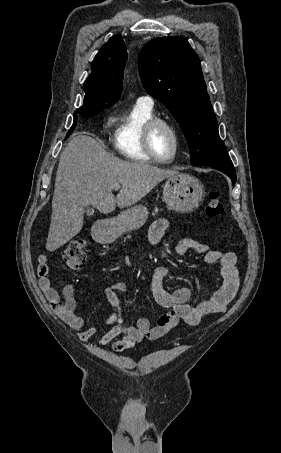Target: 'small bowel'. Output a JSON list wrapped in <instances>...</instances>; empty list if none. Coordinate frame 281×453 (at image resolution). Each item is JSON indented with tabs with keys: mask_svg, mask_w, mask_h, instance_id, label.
<instances>
[{
	"mask_svg": "<svg viewBox=\"0 0 281 453\" xmlns=\"http://www.w3.org/2000/svg\"><path fill=\"white\" fill-rule=\"evenodd\" d=\"M168 228L169 222L167 220H156L149 229L148 240L150 245L153 247L158 245ZM175 251L178 255H185L189 251L203 254L206 264L219 265L222 279L219 291L211 299L191 306L188 303L191 295L189 287H180L170 293L163 286V280L174 272V268L171 265L158 266L151 279L152 294L155 301L168 309V312L159 319L156 325H152L148 319L144 318L135 325L126 326L120 316L119 294L126 292L128 287L125 282L114 283L105 290V298L111 309L110 315L106 319V325L111 326V329L95 339L96 346H104L119 335H123L122 339L115 341L111 346L112 350L123 352L141 342L144 337L153 340L165 336L180 322L186 325H196L209 313H224L229 309L239 288L235 254L210 250L207 244L186 236L177 239ZM39 261V284L51 304L52 312L71 328L76 329L80 340L94 338L99 330L97 328L84 329L86 320L77 313L74 285L71 283L64 285V302L60 303L59 294L49 277L50 264L47 256H41ZM66 265L74 267L70 261H67Z\"/></svg>",
	"mask_w": 281,
	"mask_h": 453,
	"instance_id": "1",
	"label": "small bowel"
}]
</instances>
